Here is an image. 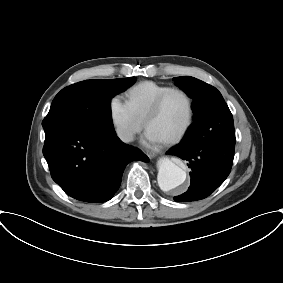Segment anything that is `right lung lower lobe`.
I'll list each match as a JSON object with an SVG mask.
<instances>
[{
    "instance_id": "obj_1",
    "label": "right lung lower lobe",
    "mask_w": 283,
    "mask_h": 283,
    "mask_svg": "<svg viewBox=\"0 0 283 283\" xmlns=\"http://www.w3.org/2000/svg\"><path fill=\"white\" fill-rule=\"evenodd\" d=\"M43 155L53 180L80 201L110 200L132 160L147 162L138 148L123 143L114 128L62 127L45 134Z\"/></svg>"
}]
</instances>
